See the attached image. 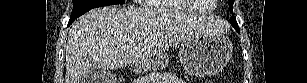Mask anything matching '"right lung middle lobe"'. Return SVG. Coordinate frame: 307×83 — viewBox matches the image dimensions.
<instances>
[{"label": "right lung middle lobe", "instance_id": "obj_1", "mask_svg": "<svg viewBox=\"0 0 307 83\" xmlns=\"http://www.w3.org/2000/svg\"><path fill=\"white\" fill-rule=\"evenodd\" d=\"M124 3L125 0H73V10L68 25L90 9Z\"/></svg>", "mask_w": 307, "mask_h": 83}]
</instances>
